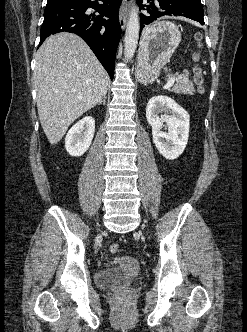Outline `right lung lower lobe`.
<instances>
[{
	"instance_id": "98d812e1",
	"label": "right lung lower lobe",
	"mask_w": 247,
	"mask_h": 332,
	"mask_svg": "<svg viewBox=\"0 0 247 332\" xmlns=\"http://www.w3.org/2000/svg\"><path fill=\"white\" fill-rule=\"evenodd\" d=\"M48 0L40 31V44L51 34L71 32L80 36L113 78L116 50L121 37L118 11L122 0ZM89 8L100 15L87 14ZM102 16L110 17L103 21Z\"/></svg>"
}]
</instances>
